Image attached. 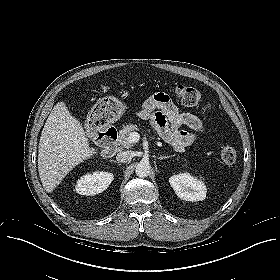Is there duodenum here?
I'll use <instances>...</instances> for the list:
<instances>
[{
  "label": "duodenum",
  "mask_w": 280,
  "mask_h": 280,
  "mask_svg": "<svg viewBox=\"0 0 280 280\" xmlns=\"http://www.w3.org/2000/svg\"><path fill=\"white\" fill-rule=\"evenodd\" d=\"M99 136L103 142L101 154L104 157H111L114 154L116 147V140L118 137L117 127L109 125L100 131Z\"/></svg>",
  "instance_id": "duodenum-1"
}]
</instances>
